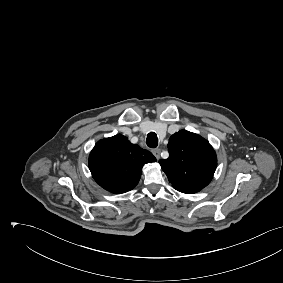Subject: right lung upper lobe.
I'll list each match as a JSON object with an SVG mask.
<instances>
[{"mask_svg": "<svg viewBox=\"0 0 283 283\" xmlns=\"http://www.w3.org/2000/svg\"><path fill=\"white\" fill-rule=\"evenodd\" d=\"M155 161L151 152L117 134L96 143L89 156V169L102 188L119 194L135 188L143 165Z\"/></svg>", "mask_w": 283, "mask_h": 283, "instance_id": "cb5924a9", "label": "right lung upper lobe"}]
</instances>
